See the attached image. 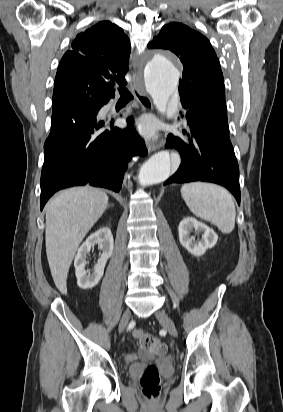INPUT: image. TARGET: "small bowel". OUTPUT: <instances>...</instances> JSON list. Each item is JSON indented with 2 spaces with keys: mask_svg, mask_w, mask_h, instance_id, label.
<instances>
[{
  "mask_svg": "<svg viewBox=\"0 0 283 412\" xmlns=\"http://www.w3.org/2000/svg\"><path fill=\"white\" fill-rule=\"evenodd\" d=\"M133 335H134L136 338H139V337L142 335V331H141V330H135V331L133 332ZM125 359H126L128 362H132V361H134V360L136 359V355H135V354H132V353H128V354L125 355Z\"/></svg>",
  "mask_w": 283,
  "mask_h": 412,
  "instance_id": "obj_1",
  "label": "small bowel"
}]
</instances>
